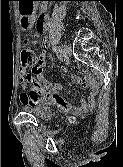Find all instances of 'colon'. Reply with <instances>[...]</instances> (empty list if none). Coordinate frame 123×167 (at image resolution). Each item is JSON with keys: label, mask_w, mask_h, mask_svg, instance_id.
Segmentation results:
<instances>
[{"label": "colon", "mask_w": 123, "mask_h": 167, "mask_svg": "<svg viewBox=\"0 0 123 167\" xmlns=\"http://www.w3.org/2000/svg\"><path fill=\"white\" fill-rule=\"evenodd\" d=\"M43 16H40L37 21V28L41 29L43 27ZM21 63L24 67L37 68L39 65V60L36 52L30 47H24L20 53Z\"/></svg>", "instance_id": "1"}]
</instances>
